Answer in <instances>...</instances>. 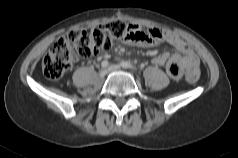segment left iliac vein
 Instances as JSON below:
<instances>
[{
	"label": "left iliac vein",
	"mask_w": 238,
	"mask_h": 158,
	"mask_svg": "<svg viewBox=\"0 0 238 158\" xmlns=\"http://www.w3.org/2000/svg\"><path fill=\"white\" fill-rule=\"evenodd\" d=\"M121 69V67L119 65H110L108 68L109 72H113V71H119Z\"/></svg>",
	"instance_id": "4c4485c4"
}]
</instances>
